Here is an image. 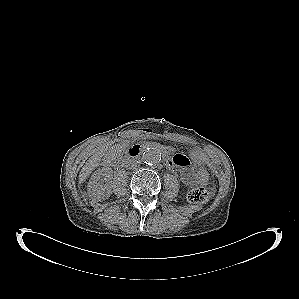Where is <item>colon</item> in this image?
Wrapping results in <instances>:
<instances>
[{"mask_svg": "<svg viewBox=\"0 0 299 299\" xmlns=\"http://www.w3.org/2000/svg\"><path fill=\"white\" fill-rule=\"evenodd\" d=\"M194 178L197 183L200 184L199 187L191 189L187 193V199L193 204H203L209 200L210 192L204 187L207 183L209 174L204 167L197 168L194 172Z\"/></svg>", "mask_w": 299, "mask_h": 299, "instance_id": "colon-1", "label": "colon"}]
</instances>
